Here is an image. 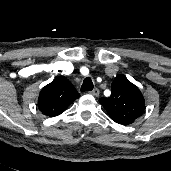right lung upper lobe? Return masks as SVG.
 Here are the masks:
<instances>
[{
  "label": "right lung upper lobe",
  "instance_id": "cb5924a9",
  "mask_svg": "<svg viewBox=\"0 0 171 171\" xmlns=\"http://www.w3.org/2000/svg\"><path fill=\"white\" fill-rule=\"evenodd\" d=\"M80 95L64 76L55 78L46 85L38 97L39 109L49 117L58 116Z\"/></svg>",
  "mask_w": 171,
  "mask_h": 171
}]
</instances>
